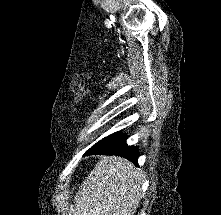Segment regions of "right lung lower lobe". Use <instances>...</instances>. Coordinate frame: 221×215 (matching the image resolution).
<instances>
[{
    "label": "right lung lower lobe",
    "mask_w": 221,
    "mask_h": 215,
    "mask_svg": "<svg viewBox=\"0 0 221 215\" xmlns=\"http://www.w3.org/2000/svg\"><path fill=\"white\" fill-rule=\"evenodd\" d=\"M118 155L127 158L135 165H138V151L136 148L126 144V137L120 132H116L102 139L91 147L84 155Z\"/></svg>",
    "instance_id": "1"
}]
</instances>
